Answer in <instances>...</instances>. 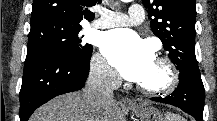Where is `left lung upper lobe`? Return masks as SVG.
Segmentation results:
<instances>
[{
    "mask_svg": "<svg viewBox=\"0 0 217 121\" xmlns=\"http://www.w3.org/2000/svg\"><path fill=\"white\" fill-rule=\"evenodd\" d=\"M150 26L180 71L200 76L195 56L196 0H142Z\"/></svg>",
    "mask_w": 217,
    "mask_h": 121,
    "instance_id": "obj_1",
    "label": "left lung upper lobe"
}]
</instances>
